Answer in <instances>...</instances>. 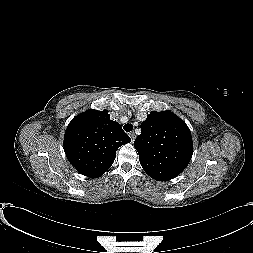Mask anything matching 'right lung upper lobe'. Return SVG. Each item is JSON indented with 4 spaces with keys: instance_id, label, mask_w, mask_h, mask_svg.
I'll use <instances>...</instances> for the list:
<instances>
[{
    "instance_id": "1",
    "label": "right lung upper lobe",
    "mask_w": 253,
    "mask_h": 253,
    "mask_svg": "<svg viewBox=\"0 0 253 253\" xmlns=\"http://www.w3.org/2000/svg\"><path fill=\"white\" fill-rule=\"evenodd\" d=\"M131 141L107 110L90 109L76 116L64 136V151L81 174L97 178L113 164L116 150Z\"/></svg>"
}]
</instances>
